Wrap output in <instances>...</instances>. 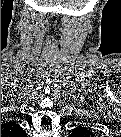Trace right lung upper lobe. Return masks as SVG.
<instances>
[{"instance_id":"cb5924a9","label":"right lung upper lobe","mask_w":121,"mask_h":137,"mask_svg":"<svg viewBox=\"0 0 121 137\" xmlns=\"http://www.w3.org/2000/svg\"><path fill=\"white\" fill-rule=\"evenodd\" d=\"M17 129V130H20L19 126L15 125L14 123L12 122H9V123H4L2 126H1V129H4V130H7V129ZM22 131V130H21Z\"/></svg>"}]
</instances>
